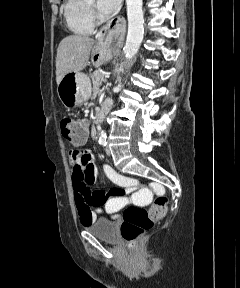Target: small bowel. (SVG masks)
<instances>
[{
	"label": "small bowel",
	"instance_id": "obj_1",
	"mask_svg": "<svg viewBox=\"0 0 240 288\" xmlns=\"http://www.w3.org/2000/svg\"><path fill=\"white\" fill-rule=\"evenodd\" d=\"M85 143L86 139L73 143L75 148L70 151V162L77 211L81 223L87 226L96 220L97 214L105 212L114 215L126 206L129 203L126 195L136 189L137 182L103 164V172L117 187L109 193L102 189L92 190L91 186L97 179V167L91 150L83 148Z\"/></svg>",
	"mask_w": 240,
	"mask_h": 288
}]
</instances>
